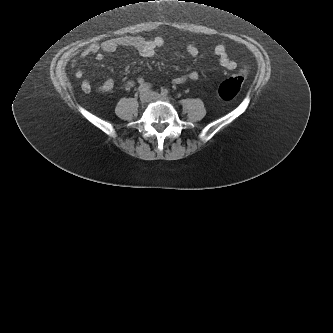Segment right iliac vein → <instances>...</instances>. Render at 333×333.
Masks as SVG:
<instances>
[{
	"instance_id": "63e3f726",
	"label": "right iliac vein",
	"mask_w": 333,
	"mask_h": 333,
	"mask_svg": "<svg viewBox=\"0 0 333 333\" xmlns=\"http://www.w3.org/2000/svg\"><path fill=\"white\" fill-rule=\"evenodd\" d=\"M140 100L142 103H148L151 100V94L149 92H144L140 95Z\"/></svg>"
}]
</instances>
